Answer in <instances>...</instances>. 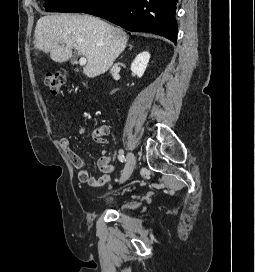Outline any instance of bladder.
<instances>
[{
  "label": "bladder",
  "mask_w": 255,
  "mask_h": 272,
  "mask_svg": "<svg viewBox=\"0 0 255 272\" xmlns=\"http://www.w3.org/2000/svg\"><path fill=\"white\" fill-rule=\"evenodd\" d=\"M118 202H119V198L115 196L108 197L102 201V203L106 206L116 205Z\"/></svg>",
  "instance_id": "bladder-1"
}]
</instances>
